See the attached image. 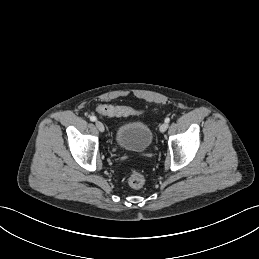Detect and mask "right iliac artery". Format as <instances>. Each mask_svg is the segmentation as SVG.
Here are the masks:
<instances>
[{"label":"right iliac artery","instance_id":"82829eb1","mask_svg":"<svg viewBox=\"0 0 259 259\" xmlns=\"http://www.w3.org/2000/svg\"><path fill=\"white\" fill-rule=\"evenodd\" d=\"M90 120L94 122V121L97 120V118H96L95 116H91V117H90Z\"/></svg>","mask_w":259,"mask_h":259}]
</instances>
